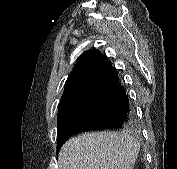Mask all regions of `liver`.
<instances>
[{
    "instance_id": "6515ba94",
    "label": "liver",
    "mask_w": 177,
    "mask_h": 169,
    "mask_svg": "<svg viewBox=\"0 0 177 169\" xmlns=\"http://www.w3.org/2000/svg\"><path fill=\"white\" fill-rule=\"evenodd\" d=\"M139 150L128 132L85 133L63 145L59 169H132Z\"/></svg>"
}]
</instances>
